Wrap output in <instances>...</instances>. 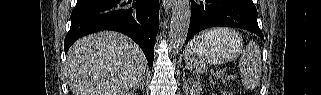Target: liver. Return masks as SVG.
I'll return each instance as SVG.
<instances>
[{
  "label": "liver",
  "instance_id": "obj_1",
  "mask_svg": "<svg viewBox=\"0 0 321 95\" xmlns=\"http://www.w3.org/2000/svg\"><path fill=\"white\" fill-rule=\"evenodd\" d=\"M146 58L131 39L103 31L77 40L65 72L73 95H125L144 78Z\"/></svg>",
  "mask_w": 321,
  "mask_h": 95
}]
</instances>
